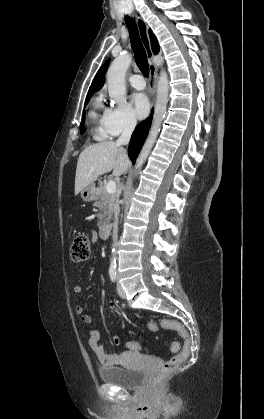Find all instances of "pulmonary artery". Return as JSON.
<instances>
[{
  "label": "pulmonary artery",
  "mask_w": 264,
  "mask_h": 419,
  "mask_svg": "<svg viewBox=\"0 0 264 419\" xmlns=\"http://www.w3.org/2000/svg\"><path fill=\"white\" fill-rule=\"evenodd\" d=\"M129 81H130L131 85L138 90H142L146 86V83H145V80H144L143 76H141L139 74L131 75L129 77Z\"/></svg>",
  "instance_id": "1"
}]
</instances>
